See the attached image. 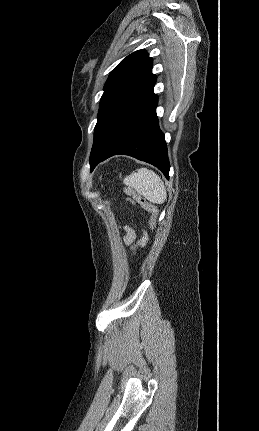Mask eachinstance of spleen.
Here are the masks:
<instances>
[{
  "label": "spleen",
  "instance_id": "1",
  "mask_svg": "<svg viewBox=\"0 0 259 431\" xmlns=\"http://www.w3.org/2000/svg\"><path fill=\"white\" fill-rule=\"evenodd\" d=\"M124 184L134 188L148 201L162 204L167 199L166 188L160 176L147 168L138 169L123 180Z\"/></svg>",
  "mask_w": 259,
  "mask_h": 431
}]
</instances>
